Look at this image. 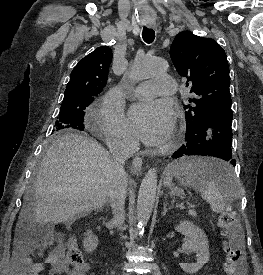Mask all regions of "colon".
<instances>
[{
    "label": "colon",
    "mask_w": 263,
    "mask_h": 275,
    "mask_svg": "<svg viewBox=\"0 0 263 275\" xmlns=\"http://www.w3.org/2000/svg\"><path fill=\"white\" fill-rule=\"evenodd\" d=\"M219 225L226 236L224 243V251L226 253L224 271L226 275H245L246 266L242 234L234 212H223L219 217ZM66 258L72 269H82L86 266L82 253L73 239L67 244Z\"/></svg>",
    "instance_id": "1"
}]
</instances>
